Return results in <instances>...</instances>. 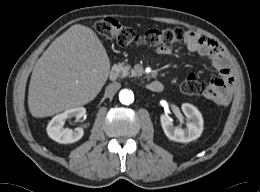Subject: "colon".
Segmentation results:
<instances>
[{
    "mask_svg": "<svg viewBox=\"0 0 260 192\" xmlns=\"http://www.w3.org/2000/svg\"><path fill=\"white\" fill-rule=\"evenodd\" d=\"M97 32L108 39L115 40L122 46L147 45L160 49L170 47L184 40L186 31L181 27L152 29L145 34H137L132 28L121 24L114 18H102L96 22ZM181 90L187 95H198L204 90V86L194 75H189L182 83Z\"/></svg>",
    "mask_w": 260,
    "mask_h": 192,
    "instance_id": "obj_1",
    "label": "colon"
}]
</instances>
